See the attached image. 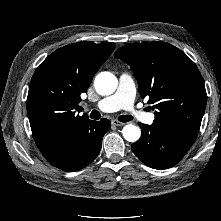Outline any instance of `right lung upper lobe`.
<instances>
[{
	"label": "right lung upper lobe",
	"instance_id": "right-lung-upper-lobe-1",
	"mask_svg": "<svg viewBox=\"0 0 221 221\" xmlns=\"http://www.w3.org/2000/svg\"><path fill=\"white\" fill-rule=\"evenodd\" d=\"M114 48V43L78 42L57 49L37 67L29 86L27 113L39 150L91 121L86 114H77L80 95Z\"/></svg>",
	"mask_w": 221,
	"mask_h": 221
}]
</instances>
